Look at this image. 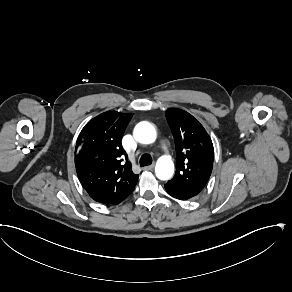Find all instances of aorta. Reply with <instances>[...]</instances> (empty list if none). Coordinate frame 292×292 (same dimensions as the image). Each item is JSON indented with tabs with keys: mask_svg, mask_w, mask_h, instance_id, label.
Returning <instances> with one entry per match:
<instances>
[{
	"mask_svg": "<svg viewBox=\"0 0 292 292\" xmlns=\"http://www.w3.org/2000/svg\"><path fill=\"white\" fill-rule=\"evenodd\" d=\"M134 135L142 144H153L157 140L155 128L148 122L139 123L134 130ZM155 172L159 179L166 180L173 176L174 162L168 155L158 158L155 166Z\"/></svg>",
	"mask_w": 292,
	"mask_h": 292,
	"instance_id": "762f6f07",
	"label": "aorta"
}]
</instances>
